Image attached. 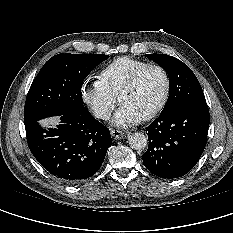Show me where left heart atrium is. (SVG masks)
I'll return each mask as SVG.
<instances>
[{"label":"left heart atrium","mask_w":233,"mask_h":233,"mask_svg":"<svg viewBox=\"0 0 233 233\" xmlns=\"http://www.w3.org/2000/svg\"><path fill=\"white\" fill-rule=\"evenodd\" d=\"M141 120V116L135 112L128 105L122 104L121 107L117 110L113 122L117 126H131L137 124Z\"/></svg>","instance_id":"left-heart-atrium-1"}]
</instances>
